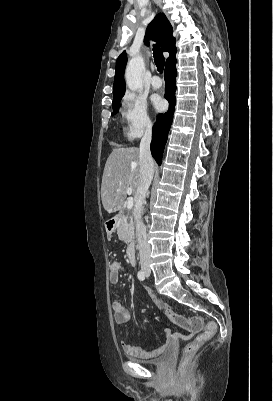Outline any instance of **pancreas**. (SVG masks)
<instances>
[{
	"label": "pancreas",
	"instance_id": "obj_1",
	"mask_svg": "<svg viewBox=\"0 0 273 401\" xmlns=\"http://www.w3.org/2000/svg\"><path fill=\"white\" fill-rule=\"evenodd\" d=\"M117 235L120 241H125V243H130L134 237V223L132 217H121L118 219L116 225Z\"/></svg>",
	"mask_w": 273,
	"mask_h": 401
}]
</instances>
